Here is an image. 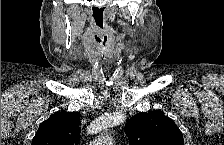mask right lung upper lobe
I'll use <instances>...</instances> for the list:
<instances>
[{
  "instance_id": "cb5924a9",
  "label": "right lung upper lobe",
  "mask_w": 224,
  "mask_h": 145,
  "mask_svg": "<svg viewBox=\"0 0 224 145\" xmlns=\"http://www.w3.org/2000/svg\"><path fill=\"white\" fill-rule=\"evenodd\" d=\"M80 116L75 112H57L42 122L32 145H78Z\"/></svg>"
}]
</instances>
